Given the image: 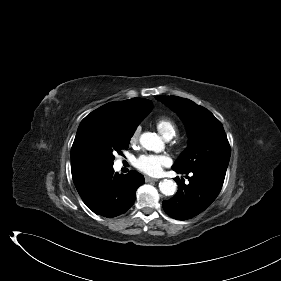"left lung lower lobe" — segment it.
<instances>
[{"label":"left lung lower lobe","mask_w":281,"mask_h":281,"mask_svg":"<svg viewBox=\"0 0 281 281\" xmlns=\"http://www.w3.org/2000/svg\"><path fill=\"white\" fill-rule=\"evenodd\" d=\"M177 173L185 174L189 184L184 179L175 178L178 184L176 195L162 206L164 211L174 219L187 220L204 211L218 196L227 168L216 166L203 167L197 170L184 171L172 168Z\"/></svg>","instance_id":"obj_1"}]
</instances>
